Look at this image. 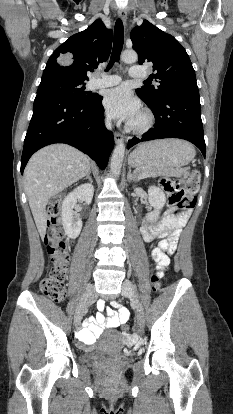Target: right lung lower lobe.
Returning a JSON list of instances; mask_svg holds the SVG:
<instances>
[{
    "instance_id": "1",
    "label": "right lung lower lobe",
    "mask_w": 233,
    "mask_h": 414,
    "mask_svg": "<svg viewBox=\"0 0 233 414\" xmlns=\"http://www.w3.org/2000/svg\"><path fill=\"white\" fill-rule=\"evenodd\" d=\"M101 100L102 96L98 94L89 101H75L53 94L37 95L24 140L21 173L34 152L53 143L76 147L104 169L114 147V138L104 127Z\"/></svg>"
}]
</instances>
